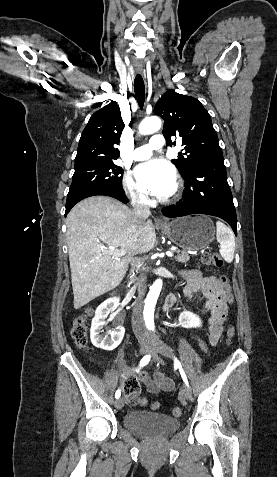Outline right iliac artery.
<instances>
[{"instance_id": "obj_1", "label": "right iliac artery", "mask_w": 277, "mask_h": 477, "mask_svg": "<svg viewBox=\"0 0 277 477\" xmlns=\"http://www.w3.org/2000/svg\"><path fill=\"white\" fill-rule=\"evenodd\" d=\"M149 360H150V355L144 356L140 361V367L145 366L149 362ZM120 395H121L120 390H117L116 393H115V398L118 399L120 397Z\"/></svg>"}]
</instances>
